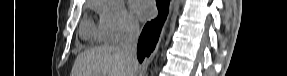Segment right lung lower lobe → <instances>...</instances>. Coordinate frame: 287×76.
Segmentation results:
<instances>
[{"label": "right lung lower lobe", "instance_id": "98d812e1", "mask_svg": "<svg viewBox=\"0 0 287 76\" xmlns=\"http://www.w3.org/2000/svg\"><path fill=\"white\" fill-rule=\"evenodd\" d=\"M159 15L155 20L148 22L139 38L137 46V58L142 62L145 57H149L154 50L159 38L162 25L167 17L169 0H156Z\"/></svg>", "mask_w": 287, "mask_h": 76}]
</instances>
